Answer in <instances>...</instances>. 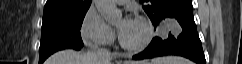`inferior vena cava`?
<instances>
[{
    "label": "inferior vena cava",
    "instance_id": "1",
    "mask_svg": "<svg viewBox=\"0 0 242 64\" xmlns=\"http://www.w3.org/2000/svg\"><path fill=\"white\" fill-rule=\"evenodd\" d=\"M96 55L102 64H109L112 59L111 52L106 48H99Z\"/></svg>",
    "mask_w": 242,
    "mask_h": 64
}]
</instances>
